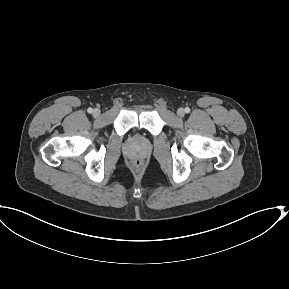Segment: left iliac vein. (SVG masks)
Instances as JSON below:
<instances>
[{"label": "left iliac vein", "mask_w": 289, "mask_h": 289, "mask_svg": "<svg viewBox=\"0 0 289 289\" xmlns=\"http://www.w3.org/2000/svg\"><path fill=\"white\" fill-rule=\"evenodd\" d=\"M177 115H178L179 117H183V116L185 115L184 109H183V108H179V109L177 110Z\"/></svg>", "instance_id": "1"}]
</instances>
